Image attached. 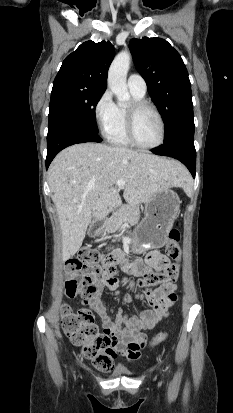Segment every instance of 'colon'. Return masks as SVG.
<instances>
[{
    "label": "colon",
    "instance_id": "1",
    "mask_svg": "<svg viewBox=\"0 0 233 413\" xmlns=\"http://www.w3.org/2000/svg\"><path fill=\"white\" fill-rule=\"evenodd\" d=\"M180 231L173 227L168 235L166 254L174 261L160 272H149L141 279L131 284L135 287H154L159 284L173 282L179 273L181 259ZM116 259L104 256L91 248H84L78 256L66 262L65 292L73 297L77 294L90 298L98 291L100 282L106 279H116ZM62 327L70 340L83 347V353L92 359L101 370L108 371L112 367L116 353L111 347V338L99 332L93 314L88 309L73 311L65 307L62 314ZM167 338L165 332L158 333L151 341L154 347Z\"/></svg>",
    "mask_w": 233,
    "mask_h": 413
}]
</instances>
